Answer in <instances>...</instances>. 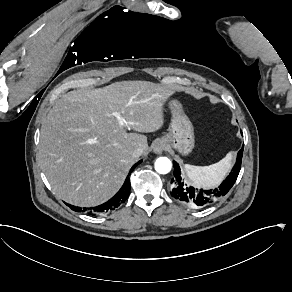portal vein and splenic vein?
<instances>
[{
    "label": "portal vein and splenic vein",
    "mask_w": 292,
    "mask_h": 292,
    "mask_svg": "<svg viewBox=\"0 0 292 292\" xmlns=\"http://www.w3.org/2000/svg\"><path fill=\"white\" fill-rule=\"evenodd\" d=\"M113 116L117 118L118 123L121 127L128 123L124 118L121 117V115L118 112H114Z\"/></svg>",
    "instance_id": "18ae733b"
}]
</instances>
